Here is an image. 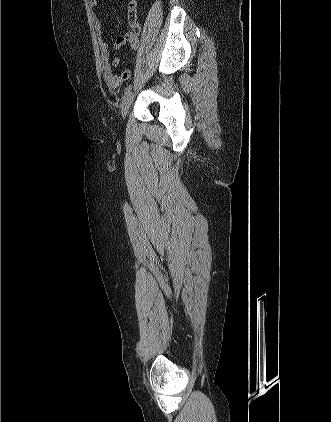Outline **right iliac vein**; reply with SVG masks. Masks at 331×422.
Segmentation results:
<instances>
[{
	"instance_id": "obj_1",
	"label": "right iliac vein",
	"mask_w": 331,
	"mask_h": 422,
	"mask_svg": "<svg viewBox=\"0 0 331 422\" xmlns=\"http://www.w3.org/2000/svg\"><path fill=\"white\" fill-rule=\"evenodd\" d=\"M133 98H134L133 92H129L128 95H126L124 97V99L122 101V104H121V115H122V118H125L126 117V115L128 113V110H129V108H130V106H131V104L133 102Z\"/></svg>"
}]
</instances>
